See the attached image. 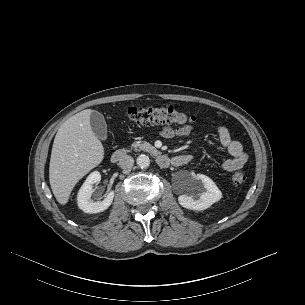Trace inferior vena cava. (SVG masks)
Here are the masks:
<instances>
[{"instance_id":"obj_1","label":"inferior vena cava","mask_w":305,"mask_h":305,"mask_svg":"<svg viewBox=\"0 0 305 305\" xmlns=\"http://www.w3.org/2000/svg\"><path fill=\"white\" fill-rule=\"evenodd\" d=\"M133 164L134 159L129 155H123L118 163L119 167H121L122 169H131L133 167Z\"/></svg>"}]
</instances>
